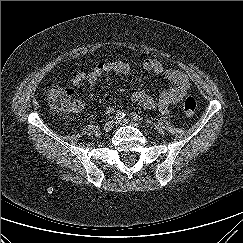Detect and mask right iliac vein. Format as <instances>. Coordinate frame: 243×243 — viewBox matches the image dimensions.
Masks as SVG:
<instances>
[{"label": "right iliac vein", "instance_id": "63e3f726", "mask_svg": "<svg viewBox=\"0 0 243 243\" xmlns=\"http://www.w3.org/2000/svg\"><path fill=\"white\" fill-rule=\"evenodd\" d=\"M114 123V121H108L103 127L104 131L109 132L114 127Z\"/></svg>", "mask_w": 243, "mask_h": 243}]
</instances>
